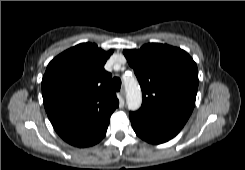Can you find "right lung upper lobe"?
I'll return each instance as SVG.
<instances>
[{"mask_svg":"<svg viewBox=\"0 0 245 170\" xmlns=\"http://www.w3.org/2000/svg\"><path fill=\"white\" fill-rule=\"evenodd\" d=\"M113 50L96 44L72 47L47 66L42 79L45 110L55 131L76 147L91 146L106 134L118 107L104 64Z\"/></svg>","mask_w":245,"mask_h":170,"instance_id":"right-lung-upper-lobe-1","label":"right lung upper lobe"}]
</instances>
